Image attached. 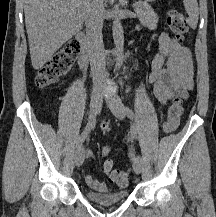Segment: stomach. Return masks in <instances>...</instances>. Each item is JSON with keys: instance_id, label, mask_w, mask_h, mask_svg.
I'll list each match as a JSON object with an SVG mask.
<instances>
[{"instance_id": "stomach-1", "label": "stomach", "mask_w": 216, "mask_h": 217, "mask_svg": "<svg viewBox=\"0 0 216 217\" xmlns=\"http://www.w3.org/2000/svg\"><path fill=\"white\" fill-rule=\"evenodd\" d=\"M146 2H154L155 0H145Z\"/></svg>"}]
</instances>
